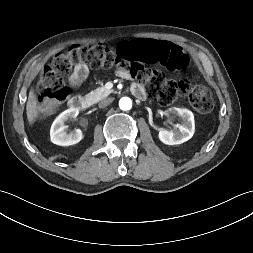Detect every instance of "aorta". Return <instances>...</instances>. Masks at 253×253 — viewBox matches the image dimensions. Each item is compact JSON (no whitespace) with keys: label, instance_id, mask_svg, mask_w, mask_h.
<instances>
[{"label":"aorta","instance_id":"aorta-1","mask_svg":"<svg viewBox=\"0 0 253 253\" xmlns=\"http://www.w3.org/2000/svg\"><path fill=\"white\" fill-rule=\"evenodd\" d=\"M121 110H130L132 108V100L129 97H122L119 101Z\"/></svg>","mask_w":253,"mask_h":253}]
</instances>
